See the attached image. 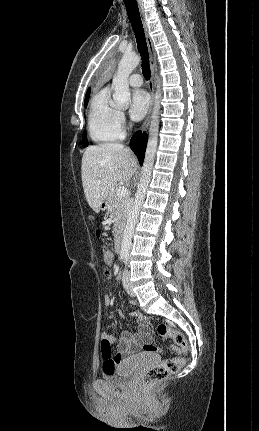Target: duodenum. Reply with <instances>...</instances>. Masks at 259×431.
Returning a JSON list of instances; mask_svg holds the SVG:
<instances>
[{
	"label": "duodenum",
	"instance_id": "duodenum-1",
	"mask_svg": "<svg viewBox=\"0 0 259 431\" xmlns=\"http://www.w3.org/2000/svg\"><path fill=\"white\" fill-rule=\"evenodd\" d=\"M123 237L121 233H117L114 241V248L117 253L121 252Z\"/></svg>",
	"mask_w": 259,
	"mask_h": 431
}]
</instances>
